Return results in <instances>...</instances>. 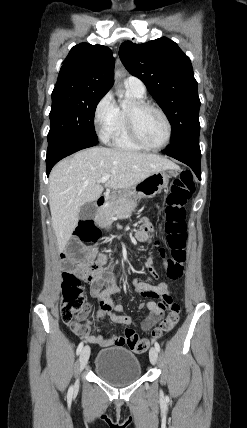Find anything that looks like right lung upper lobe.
<instances>
[{"instance_id":"cb5924a9","label":"right lung upper lobe","mask_w":247,"mask_h":428,"mask_svg":"<svg viewBox=\"0 0 247 428\" xmlns=\"http://www.w3.org/2000/svg\"><path fill=\"white\" fill-rule=\"evenodd\" d=\"M113 82L112 51L106 46L81 43L72 47L63 62L52 94L73 90L106 94Z\"/></svg>"}]
</instances>
